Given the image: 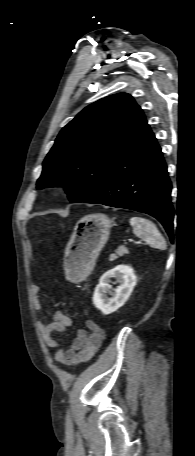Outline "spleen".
<instances>
[{"mask_svg":"<svg viewBox=\"0 0 195 456\" xmlns=\"http://www.w3.org/2000/svg\"><path fill=\"white\" fill-rule=\"evenodd\" d=\"M130 224L133 227V233L151 247L166 249V241L152 221L142 217H132Z\"/></svg>","mask_w":195,"mask_h":456,"instance_id":"obj_1","label":"spleen"}]
</instances>
